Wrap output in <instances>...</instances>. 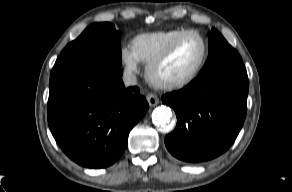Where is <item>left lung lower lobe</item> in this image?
Segmentation results:
<instances>
[{
	"label": "left lung lower lobe",
	"instance_id": "obj_1",
	"mask_svg": "<svg viewBox=\"0 0 292 192\" xmlns=\"http://www.w3.org/2000/svg\"><path fill=\"white\" fill-rule=\"evenodd\" d=\"M246 69H225L197 76L162 101L177 115V125L165 137L168 151L191 163L213 159L234 143L247 111Z\"/></svg>",
	"mask_w": 292,
	"mask_h": 192
}]
</instances>
